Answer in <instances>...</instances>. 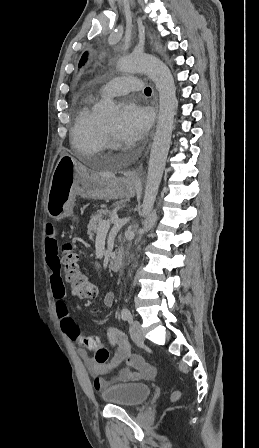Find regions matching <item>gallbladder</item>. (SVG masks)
<instances>
[{
  "label": "gallbladder",
  "mask_w": 259,
  "mask_h": 448,
  "mask_svg": "<svg viewBox=\"0 0 259 448\" xmlns=\"http://www.w3.org/2000/svg\"><path fill=\"white\" fill-rule=\"evenodd\" d=\"M98 170H105V166H104V164H99V166H98Z\"/></svg>",
  "instance_id": "gallbladder-1"
}]
</instances>
